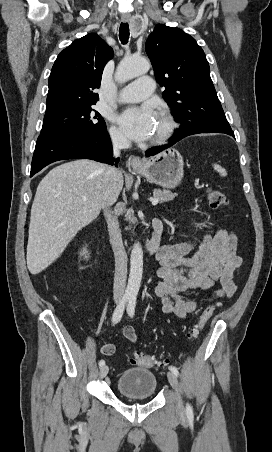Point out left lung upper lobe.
Wrapping results in <instances>:
<instances>
[{"mask_svg":"<svg viewBox=\"0 0 272 452\" xmlns=\"http://www.w3.org/2000/svg\"><path fill=\"white\" fill-rule=\"evenodd\" d=\"M145 49L163 98L181 129H231L210 77L209 63L196 40L179 28L157 24Z\"/></svg>","mask_w":272,"mask_h":452,"instance_id":"1","label":"left lung upper lobe"}]
</instances>
